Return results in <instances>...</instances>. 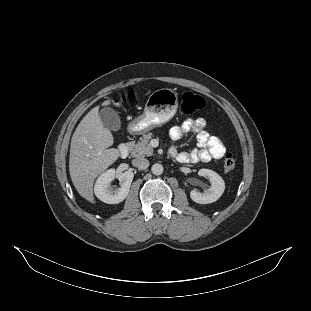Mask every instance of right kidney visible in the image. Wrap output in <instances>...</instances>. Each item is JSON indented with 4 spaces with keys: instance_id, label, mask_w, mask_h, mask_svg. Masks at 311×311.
I'll use <instances>...</instances> for the list:
<instances>
[{
    "instance_id": "1",
    "label": "right kidney",
    "mask_w": 311,
    "mask_h": 311,
    "mask_svg": "<svg viewBox=\"0 0 311 311\" xmlns=\"http://www.w3.org/2000/svg\"><path fill=\"white\" fill-rule=\"evenodd\" d=\"M114 178L115 169H109L98 177L94 186L96 197L107 204L120 203L128 196L134 174L131 171L119 174L120 187L115 190L110 187Z\"/></svg>"
}]
</instances>
